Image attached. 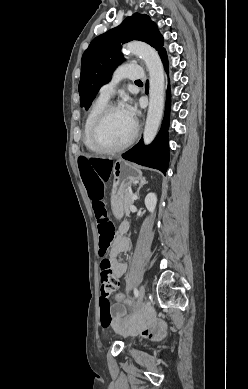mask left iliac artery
Here are the masks:
<instances>
[{
    "instance_id": "44dca946",
    "label": "left iliac artery",
    "mask_w": 248,
    "mask_h": 389,
    "mask_svg": "<svg viewBox=\"0 0 248 389\" xmlns=\"http://www.w3.org/2000/svg\"><path fill=\"white\" fill-rule=\"evenodd\" d=\"M134 296H135V298L138 297V290H137V288H134Z\"/></svg>"
}]
</instances>
